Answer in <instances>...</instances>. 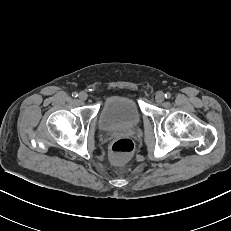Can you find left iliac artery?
Returning a JSON list of instances; mask_svg holds the SVG:
<instances>
[{
    "label": "left iliac artery",
    "mask_w": 231,
    "mask_h": 231,
    "mask_svg": "<svg viewBox=\"0 0 231 231\" xmlns=\"http://www.w3.org/2000/svg\"><path fill=\"white\" fill-rule=\"evenodd\" d=\"M165 97H166L167 99H169V98H171V94L168 92V93L165 94Z\"/></svg>",
    "instance_id": "left-iliac-artery-1"
}]
</instances>
